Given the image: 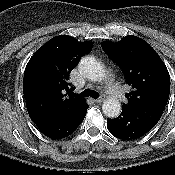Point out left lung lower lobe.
<instances>
[{
	"mask_svg": "<svg viewBox=\"0 0 175 175\" xmlns=\"http://www.w3.org/2000/svg\"><path fill=\"white\" fill-rule=\"evenodd\" d=\"M163 107L148 106L134 110H123L114 119H107L109 132L119 139H137L150 131L159 121Z\"/></svg>",
	"mask_w": 175,
	"mask_h": 175,
	"instance_id": "obj_1",
	"label": "left lung lower lobe"
}]
</instances>
